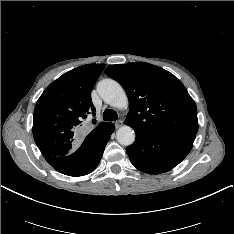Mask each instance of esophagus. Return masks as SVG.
<instances>
[{
  "label": "esophagus",
  "instance_id": "1",
  "mask_svg": "<svg viewBox=\"0 0 234 234\" xmlns=\"http://www.w3.org/2000/svg\"><path fill=\"white\" fill-rule=\"evenodd\" d=\"M122 125H123V121H122V120H117V121L115 122V127H116V128H120Z\"/></svg>",
  "mask_w": 234,
  "mask_h": 234
}]
</instances>
